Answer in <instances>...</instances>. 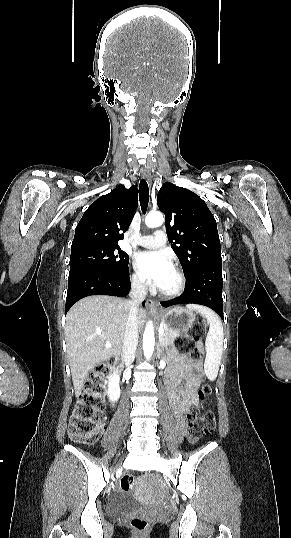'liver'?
Masks as SVG:
<instances>
[{"label":"liver","mask_w":291,"mask_h":538,"mask_svg":"<svg viewBox=\"0 0 291 538\" xmlns=\"http://www.w3.org/2000/svg\"><path fill=\"white\" fill-rule=\"evenodd\" d=\"M128 313V301L105 295L83 298L67 313L65 339L76 397L89 371L121 352ZM145 318L146 311L140 308L139 328Z\"/></svg>","instance_id":"6515ba94"}]
</instances>
